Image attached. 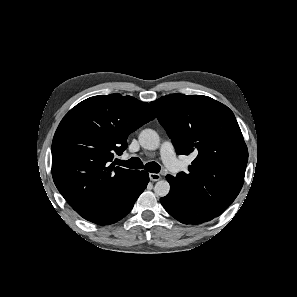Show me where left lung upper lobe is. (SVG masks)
<instances>
[{
  "instance_id": "5c2ea615",
  "label": "left lung upper lobe",
  "mask_w": 297,
  "mask_h": 297,
  "mask_svg": "<svg viewBox=\"0 0 297 297\" xmlns=\"http://www.w3.org/2000/svg\"><path fill=\"white\" fill-rule=\"evenodd\" d=\"M178 154L197 157L188 173L168 175L198 206L219 216L239 194L248 150L233 112L202 95L170 94L150 103Z\"/></svg>"
}]
</instances>
